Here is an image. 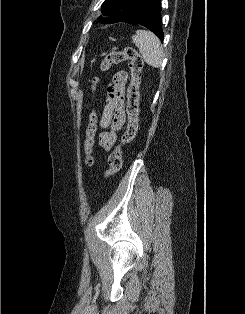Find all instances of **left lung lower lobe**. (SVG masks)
Instances as JSON below:
<instances>
[{
	"label": "left lung lower lobe",
	"mask_w": 245,
	"mask_h": 314,
	"mask_svg": "<svg viewBox=\"0 0 245 314\" xmlns=\"http://www.w3.org/2000/svg\"><path fill=\"white\" fill-rule=\"evenodd\" d=\"M129 21L136 22L145 26L155 33L160 40H163V31L161 28V1L146 0L137 14Z\"/></svg>",
	"instance_id": "1"
}]
</instances>
